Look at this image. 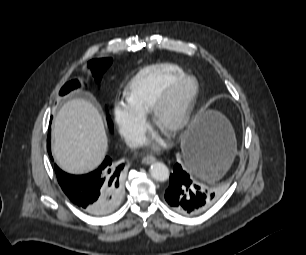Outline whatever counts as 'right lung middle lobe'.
Masks as SVG:
<instances>
[{"label":"right lung middle lobe","instance_id":"dd1d6c3e","mask_svg":"<svg viewBox=\"0 0 306 255\" xmlns=\"http://www.w3.org/2000/svg\"><path fill=\"white\" fill-rule=\"evenodd\" d=\"M111 63H112L111 58L94 59L88 62V67L90 68L96 82H100L103 73L111 65ZM77 87H79V82L77 80L70 81L62 87V89L60 90V95H65ZM108 125L112 131L113 124L109 116H108Z\"/></svg>","mask_w":306,"mask_h":255}]
</instances>
